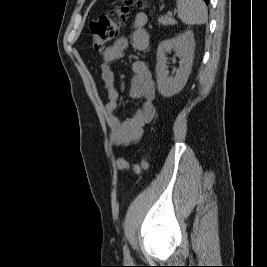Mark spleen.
I'll list each match as a JSON object with an SVG mask.
<instances>
[{
	"label": "spleen",
	"instance_id": "spleen-1",
	"mask_svg": "<svg viewBox=\"0 0 267 267\" xmlns=\"http://www.w3.org/2000/svg\"><path fill=\"white\" fill-rule=\"evenodd\" d=\"M178 18L187 25L204 24L208 11L203 0H177Z\"/></svg>",
	"mask_w": 267,
	"mask_h": 267
}]
</instances>
